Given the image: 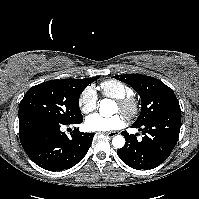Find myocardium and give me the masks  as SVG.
Returning <instances> with one entry per match:
<instances>
[{"label": "myocardium", "instance_id": "obj_1", "mask_svg": "<svg viewBox=\"0 0 199 199\" xmlns=\"http://www.w3.org/2000/svg\"><path fill=\"white\" fill-rule=\"evenodd\" d=\"M117 104L119 109L129 118H134L139 111V103L138 100L131 96L117 99Z\"/></svg>", "mask_w": 199, "mask_h": 199}]
</instances>
